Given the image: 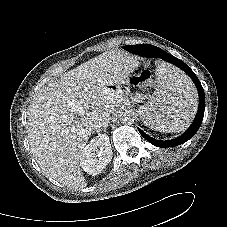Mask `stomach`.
I'll return each mask as SVG.
<instances>
[{"mask_svg": "<svg viewBox=\"0 0 227 227\" xmlns=\"http://www.w3.org/2000/svg\"><path fill=\"white\" fill-rule=\"evenodd\" d=\"M108 88L111 93H114L115 95H117L119 97L121 96V92H120V89L118 88V86L114 85V86H109Z\"/></svg>", "mask_w": 227, "mask_h": 227, "instance_id": "0dacf381", "label": "stomach"}]
</instances>
